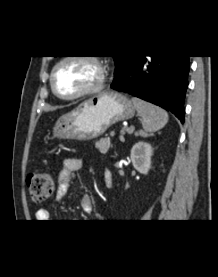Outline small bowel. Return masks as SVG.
<instances>
[{"label": "small bowel", "instance_id": "obj_1", "mask_svg": "<svg viewBox=\"0 0 218 277\" xmlns=\"http://www.w3.org/2000/svg\"><path fill=\"white\" fill-rule=\"evenodd\" d=\"M83 161L80 158L68 157L63 160L62 169L57 180L55 198L61 200L66 196L70 189L74 173L82 168ZM81 206L84 211L92 209V199L89 194L85 193L81 197ZM38 222H46L50 218V212L46 208H39L35 213Z\"/></svg>", "mask_w": 218, "mask_h": 277}]
</instances>
